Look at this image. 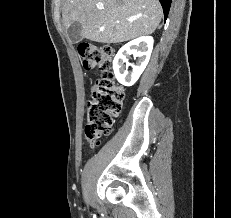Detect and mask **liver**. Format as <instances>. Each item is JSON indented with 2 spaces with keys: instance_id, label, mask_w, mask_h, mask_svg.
<instances>
[{
  "instance_id": "liver-1",
  "label": "liver",
  "mask_w": 231,
  "mask_h": 218,
  "mask_svg": "<svg viewBox=\"0 0 231 218\" xmlns=\"http://www.w3.org/2000/svg\"><path fill=\"white\" fill-rule=\"evenodd\" d=\"M162 16L158 0H65L62 8L66 30L79 22L82 38L106 44L149 35Z\"/></svg>"
}]
</instances>
